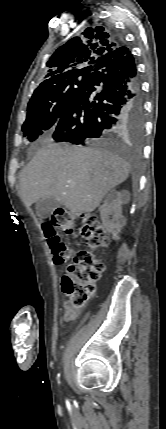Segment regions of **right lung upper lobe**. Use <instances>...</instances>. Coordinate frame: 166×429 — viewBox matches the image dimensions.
Segmentation results:
<instances>
[{
	"label": "right lung upper lobe",
	"instance_id": "right-lung-upper-lobe-1",
	"mask_svg": "<svg viewBox=\"0 0 166 429\" xmlns=\"http://www.w3.org/2000/svg\"><path fill=\"white\" fill-rule=\"evenodd\" d=\"M118 47L120 42L113 33H105L98 27L87 28L53 53L44 69V81L35 89L34 94L46 91L66 78L91 74L96 60Z\"/></svg>",
	"mask_w": 166,
	"mask_h": 429
}]
</instances>
